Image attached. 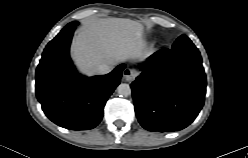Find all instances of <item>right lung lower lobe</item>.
<instances>
[{"label": "right lung lower lobe", "mask_w": 248, "mask_h": 158, "mask_svg": "<svg viewBox=\"0 0 248 158\" xmlns=\"http://www.w3.org/2000/svg\"><path fill=\"white\" fill-rule=\"evenodd\" d=\"M78 22H71L48 43L36 70V95L46 116L71 130H88L101 121L104 106L120 83L125 64L103 76L79 75L69 57Z\"/></svg>", "instance_id": "1"}]
</instances>
